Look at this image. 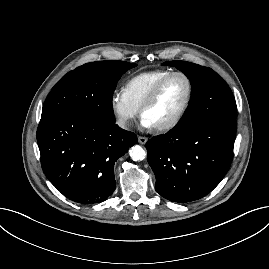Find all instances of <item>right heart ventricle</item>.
<instances>
[{"instance_id":"e07e8e85","label":"right heart ventricle","mask_w":269,"mask_h":269,"mask_svg":"<svg viewBox=\"0 0 269 269\" xmlns=\"http://www.w3.org/2000/svg\"><path fill=\"white\" fill-rule=\"evenodd\" d=\"M169 73H171L169 70H153L139 73L127 80L123 91L131 104L139 110L154 86Z\"/></svg>"}]
</instances>
